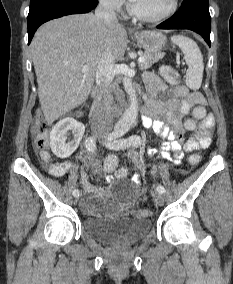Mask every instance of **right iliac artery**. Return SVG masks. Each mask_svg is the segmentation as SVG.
<instances>
[{"label":"right iliac artery","instance_id":"1","mask_svg":"<svg viewBox=\"0 0 233 284\" xmlns=\"http://www.w3.org/2000/svg\"><path fill=\"white\" fill-rule=\"evenodd\" d=\"M85 147L86 149L91 152L92 154L95 152V149H96V143H95V139L94 137L90 136L86 139L85 141ZM80 194V191L78 189H74L73 190V195L76 197V196H79Z\"/></svg>","mask_w":233,"mask_h":284}]
</instances>
